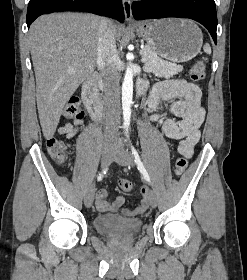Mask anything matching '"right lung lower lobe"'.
Returning a JSON list of instances; mask_svg holds the SVG:
<instances>
[{
  "mask_svg": "<svg viewBox=\"0 0 247 280\" xmlns=\"http://www.w3.org/2000/svg\"><path fill=\"white\" fill-rule=\"evenodd\" d=\"M60 11H85L109 16L119 21L124 19L121 0H30L27 9V26L40 15Z\"/></svg>",
  "mask_w": 247,
  "mask_h": 280,
  "instance_id": "98d812e1",
  "label": "right lung lower lobe"
}]
</instances>
